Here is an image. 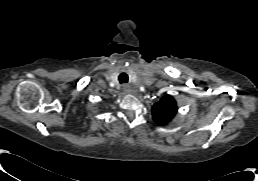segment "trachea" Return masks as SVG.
<instances>
[{
  "instance_id": "3493384b",
  "label": "trachea",
  "mask_w": 258,
  "mask_h": 181,
  "mask_svg": "<svg viewBox=\"0 0 258 181\" xmlns=\"http://www.w3.org/2000/svg\"><path fill=\"white\" fill-rule=\"evenodd\" d=\"M119 81H120V83L127 82L128 81L127 74L126 73H121L120 76H119Z\"/></svg>"
}]
</instances>
